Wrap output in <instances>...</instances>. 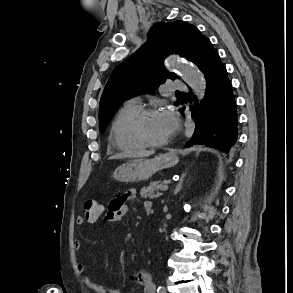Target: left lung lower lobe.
Returning a JSON list of instances; mask_svg holds the SVG:
<instances>
[{
	"mask_svg": "<svg viewBox=\"0 0 293 293\" xmlns=\"http://www.w3.org/2000/svg\"><path fill=\"white\" fill-rule=\"evenodd\" d=\"M199 69L206 80L202 102L189 92L180 103L189 105L195 130L186 147L201 144L228 153L237 140V114L231 82L219 54L210 40L206 42ZM184 109V108H183Z\"/></svg>",
	"mask_w": 293,
	"mask_h": 293,
	"instance_id": "obj_1",
	"label": "left lung lower lobe"
}]
</instances>
